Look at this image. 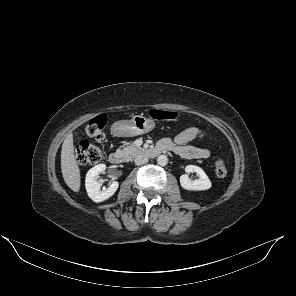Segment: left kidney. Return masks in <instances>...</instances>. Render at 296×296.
Returning <instances> with one entry per match:
<instances>
[{
	"mask_svg": "<svg viewBox=\"0 0 296 296\" xmlns=\"http://www.w3.org/2000/svg\"><path fill=\"white\" fill-rule=\"evenodd\" d=\"M185 171L187 173L196 172L199 175V179L191 180L187 174L180 176V185L182 188L192 191H201L211 188V181L202 168L188 165L185 167Z\"/></svg>",
	"mask_w": 296,
	"mask_h": 296,
	"instance_id": "obj_1",
	"label": "left kidney"
}]
</instances>
